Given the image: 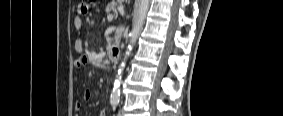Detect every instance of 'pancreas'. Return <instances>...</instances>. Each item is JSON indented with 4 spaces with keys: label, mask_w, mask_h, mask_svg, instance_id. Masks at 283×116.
Listing matches in <instances>:
<instances>
[{
    "label": "pancreas",
    "mask_w": 283,
    "mask_h": 116,
    "mask_svg": "<svg viewBox=\"0 0 283 116\" xmlns=\"http://www.w3.org/2000/svg\"><path fill=\"white\" fill-rule=\"evenodd\" d=\"M116 6H117V3L116 2H111V3H109L108 5H107V7H106V13L107 14H110V12H112V11H114L115 9H116Z\"/></svg>",
    "instance_id": "obj_1"
}]
</instances>
